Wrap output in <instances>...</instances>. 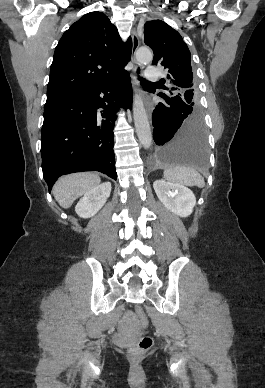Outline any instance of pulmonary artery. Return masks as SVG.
<instances>
[{
    "label": "pulmonary artery",
    "mask_w": 265,
    "mask_h": 388,
    "mask_svg": "<svg viewBox=\"0 0 265 388\" xmlns=\"http://www.w3.org/2000/svg\"><path fill=\"white\" fill-rule=\"evenodd\" d=\"M148 70L147 72H144L142 74V77L144 79H148L149 82H158L160 80V77L158 75H156V71H157V64H148Z\"/></svg>",
    "instance_id": "e3ab8cb5"
}]
</instances>
